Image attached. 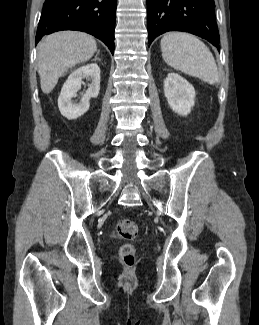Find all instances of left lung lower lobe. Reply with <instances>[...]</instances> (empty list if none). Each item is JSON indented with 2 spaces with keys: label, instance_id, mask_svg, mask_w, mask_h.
Listing matches in <instances>:
<instances>
[{
  "label": "left lung lower lobe",
  "instance_id": "obj_1",
  "mask_svg": "<svg viewBox=\"0 0 259 325\" xmlns=\"http://www.w3.org/2000/svg\"><path fill=\"white\" fill-rule=\"evenodd\" d=\"M214 0H147L149 44L168 31H184L208 40L219 50Z\"/></svg>",
  "mask_w": 259,
  "mask_h": 325
}]
</instances>
